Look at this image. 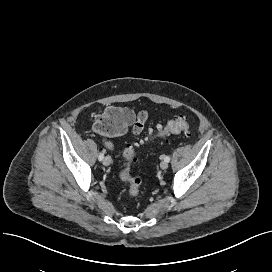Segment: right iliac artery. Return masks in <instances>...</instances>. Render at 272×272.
<instances>
[{"mask_svg": "<svg viewBox=\"0 0 272 272\" xmlns=\"http://www.w3.org/2000/svg\"><path fill=\"white\" fill-rule=\"evenodd\" d=\"M103 158H104V153L101 152V153L99 154V156H98V159H99V161H102Z\"/></svg>", "mask_w": 272, "mask_h": 272, "instance_id": "obj_1", "label": "right iliac artery"}]
</instances>
